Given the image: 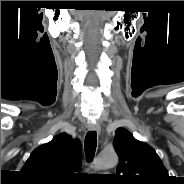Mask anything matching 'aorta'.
I'll return each mask as SVG.
<instances>
[{"label": "aorta", "mask_w": 184, "mask_h": 184, "mask_svg": "<svg viewBox=\"0 0 184 184\" xmlns=\"http://www.w3.org/2000/svg\"><path fill=\"white\" fill-rule=\"evenodd\" d=\"M118 163V157L114 151L102 152L95 161L96 169L110 168Z\"/></svg>", "instance_id": "obj_1"}]
</instances>
